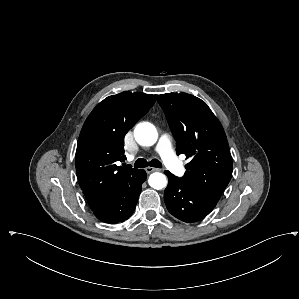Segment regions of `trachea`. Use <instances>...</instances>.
I'll return each mask as SVG.
<instances>
[{
  "instance_id": "3493384b",
  "label": "trachea",
  "mask_w": 299,
  "mask_h": 299,
  "mask_svg": "<svg viewBox=\"0 0 299 299\" xmlns=\"http://www.w3.org/2000/svg\"><path fill=\"white\" fill-rule=\"evenodd\" d=\"M152 166V167H156V168H162V163L157 160V159H153L150 162H147L145 159L139 158L135 164L134 167L136 168H144L147 166Z\"/></svg>"
}]
</instances>
